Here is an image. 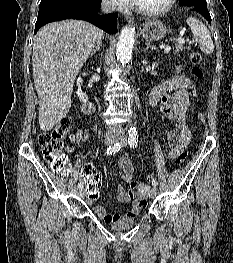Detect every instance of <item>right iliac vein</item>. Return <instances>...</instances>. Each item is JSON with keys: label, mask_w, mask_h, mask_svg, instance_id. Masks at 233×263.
Masks as SVG:
<instances>
[{"label": "right iliac vein", "mask_w": 233, "mask_h": 263, "mask_svg": "<svg viewBox=\"0 0 233 263\" xmlns=\"http://www.w3.org/2000/svg\"><path fill=\"white\" fill-rule=\"evenodd\" d=\"M104 141H105L106 144L110 145V144H113V143L117 142L118 141V137L113 135V134H107ZM85 193H86L85 189L84 188H80L79 195L81 197H84Z\"/></svg>", "instance_id": "1"}]
</instances>
